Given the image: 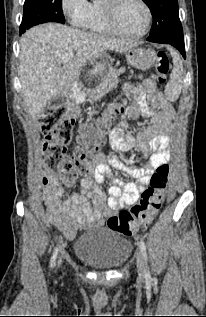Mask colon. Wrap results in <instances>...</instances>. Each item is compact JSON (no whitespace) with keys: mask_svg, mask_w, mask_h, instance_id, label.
Masks as SVG:
<instances>
[{"mask_svg":"<svg viewBox=\"0 0 206 317\" xmlns=\"http://www.w3.org/2000/svg\"><path fill=\"white\" fill-rule=\"evenodd\" d=\"M147 66L155 68V80L164 82L169 70V60L164 52L151 53ZM121 111V106L112 104L109 116ZM107 118L81 127L74 155H68L67 147L73 136L74 120L61 107H49L40 119L39 126L45 135L43 152L45 167L52 170L65 183L86 176L96 162V153L104 142ZM170 167H158L142 191L138 203L129 210H122L108 219V226L121 234L134 235L147 227L158 213L164 200ZM46 183V181L44 182Z\"/></svg>","mask_w":206,"mask_h":317,"instance_id":"1","label":"colon"}]
</instances>
